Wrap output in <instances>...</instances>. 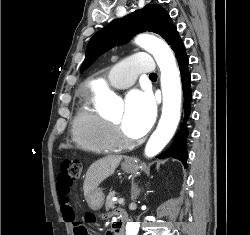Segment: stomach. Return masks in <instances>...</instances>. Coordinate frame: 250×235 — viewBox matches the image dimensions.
<instances>
[{
  "label": "stomach",
  "instance_id": "1",
  "mask_svg": "<svg viewBox=\"0 0 250 235\" xmlns=\"http://www.w3.org/2000/svg\"><path fill=\"white\" fill-rule=\"evenodd\" d=\"M121 168L125 173H134L138 170V165L132 160H125L121 164ZM104 201V194L102 189L96 188L91 191L87 197V202L92 210H99Z\"/></svg>",
  "mask_w": 250,
  "mask_h": 235
}]
</instances>
